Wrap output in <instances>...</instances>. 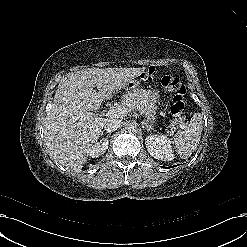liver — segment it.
<instances>
[{
	"label": "liver",
	"instance_id": "liver-1",
	"mask_svg": "<svg viewBox=\"0 0 247 247\" xmlns=\"http://www.w3.org/2000/svg\"><path fill=\"white\" fill-rule=\"evenodd\" d=\"M144 70L88 68L64 77L44 122V142L50 157L68 169H81L107 121L91 111L99 109L103 100L112 98L115 91Z\"/></svg>",
	"mask_w": 247,
	"mask_h": 247
}]
</instances>
